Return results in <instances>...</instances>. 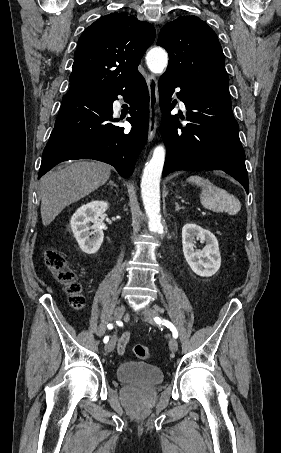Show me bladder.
<instances>
[{
	"instance_id": "obj_1",
	"label": "bladder",
	"mask_w": 281,
	"mask_h": 453,
	"mask_svg": "<svg viewBox=\"0 0 281 453\" xmlns=\"http://www.w3.org/2000/svg\"><path fill=\"white\" fill-rule=\"evenodd\" d=\"M117 377L124 382L141 385H155L163 381V372L145 363L126 362L117 368Z\"/></svg>"
}]
</instances>
